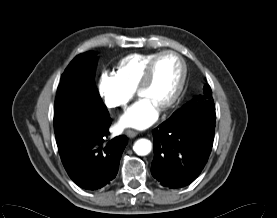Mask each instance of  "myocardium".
<instances>
[{
	"mask_svg": "<svg viewBox=\"0 0 277 218\" xmlns=\"http://www.w3.org/2000/svg\"><path fill=\"white\" fill-rule=\"evenodd\" d=\"M167 55H172L177 58L181 65V77L179 84L173 94V96L160 108L161 110H167L174 106L176 102L179 100L181 97L183 90L185 88L186 80H187V73H188V68L185 59L177 52L172 51V50H164L159 53L149 62V64L146 67V70L144 72L143 77L141 78L137 91L140 94V92L149 85L153 78L154 74V69L157 64V62L164 56Z\"/></svg>",
	"mask_w": 277,
	"mask_h": 218,
	"instance_id": "obj_1",
	"label": "myocardium"
}]
</instances>
